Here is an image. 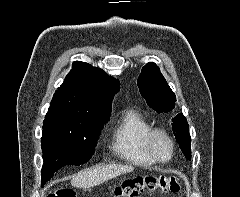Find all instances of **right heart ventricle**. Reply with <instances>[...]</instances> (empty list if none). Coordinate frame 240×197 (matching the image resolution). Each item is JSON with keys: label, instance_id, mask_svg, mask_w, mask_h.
Masks as SVG:
<instances>
[{"label": "right heart ventricle", "instance_id": "e07e8e85", "mask_svg": "<svg viewBox=\"0 0 240 197\" xmlns=\"http://www.w3.org/2000/svg\"><path fill=\"white\" fill-rule=\"evenodd\" d=\"M152 129L148 120L138 111L127 109L119 116L111 133L110 148L121 159L138 166H153L145 138Z\"/></svg>", "mask_w": 240, "mask_h": 197}]
</instances>
